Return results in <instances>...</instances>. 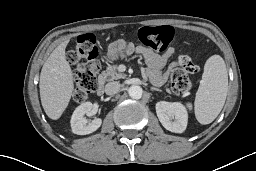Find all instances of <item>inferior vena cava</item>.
<instances>
[{"label": "inferior vena cava", "mask_w": 256, "mask_h": 171, "mask_svg": "<svg viewBox=\"0 0 256 171\" xmlns=\"http://www.w3.org/2000/svg\"><path fill=\"white\" fill-rule=\"evenodd\" d=\"M120 83L119 82H109L105 86V93L107 95L116 94L120 90Z\"/></svg>", "instance_id": "inferior-vena-cava-1"}]
</instances>
